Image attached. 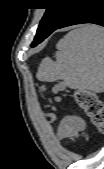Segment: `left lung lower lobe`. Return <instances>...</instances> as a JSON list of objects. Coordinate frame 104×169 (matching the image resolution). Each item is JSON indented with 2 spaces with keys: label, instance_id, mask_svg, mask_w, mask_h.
I'll list each match as a JSON object with an SVG mask.
<instances>
[{
  "label": "left lung lower lobe",
  "instance_id": "left-lung-lower-lobe-1",
  "mask_svg": "<svg viewBox=\"0 0 104 169\" xmlns=\"http://www.w3.org/2000/svg\"><path fill=\"white\" fill-rule=\"evenodd\" d=\"M104 0H77L74 8L68 13V15L59 23V25L53 30H57L63 27L82 24L93 23L104 26ZM52 31V32H53ZM50 33H43L42 30H37L31 47H35L47 38Z\"/></svg>",
  "mask_w": 104,
  "mask_h": 169
}]
</instances>
